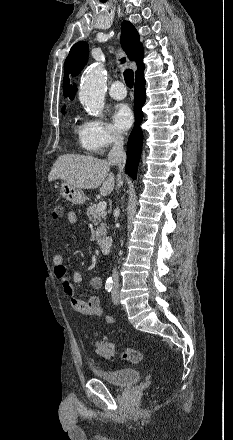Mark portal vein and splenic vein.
Instances as JSON below:
<instances>
[{
    "label": "portal vein and splenic vein",
    "mask_w": 233,
    "mask_h": 440,
    "mask_svg": "<svg viewBox=\"0 0 233 440\" xmlns=\"http://www.w3.org/2000/svg\"><path fill=\"white\" fill-rule=\"evenodd\" d=\"M106 207H107V203H106L105 201H100V202L98 203V210L103 211V210L106 209Z\"/></svg>",
    "instance_id": "1"
}]
</instances>
